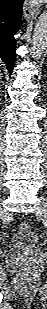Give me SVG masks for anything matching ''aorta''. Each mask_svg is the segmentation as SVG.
I'll use <instances>...</instances> for the list:
<instances>
[{"label": "aorta", "mask_w": 47, "mask_h": 309, "mask_svg": "<svg viewBox=\"0 0 47 309\" xmlns=\"http://www.w3.org/2000/svg\"><path fill=\"white\" fill-rule=\"evenodd\" d=\"M47 49V18L45 15L38 20L32 36V55L39 58Z\"/></svg>", "instance_id": "obj_1"}]
</instances>
